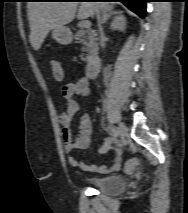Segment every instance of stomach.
<instances>
[{"label":"stomach","mask_w":188,"mask_h":213,"mask_svg":"<svg viewBox=\"0 0 188 213\" xmlns=\"http://www.w3.org/2000/svg\"><path fill=\"white\" fill-rule=\"evenodd\" d=\"M52 37L62 45H68L72 42L73 36L71 30L66 26L54 28Z\"/></svg>","instance_id":"0dacf381"}]
</instances>
